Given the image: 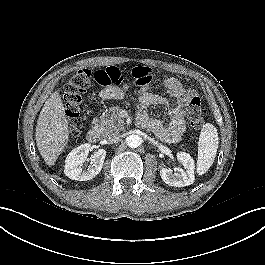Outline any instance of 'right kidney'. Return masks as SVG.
Here are the masks:
<instances>
[{
  "label": "right kidney",
  "mask_w": 265,
  "mask_h": 265,
  "mask_svg": "<svg viewBox=\"0 0 265 265\" xmlns=\"http://www.w3.org/2000/svg\"><path fill=\"white\" fill-rule=\"evenodd\" d=\"M90 148L91 145L89 143L82 144L67 155L64 166V173L67 177L73 180L87 181L100 173L106 156L104 149H99L98 152L91 156V166L87 170L82 169Z\"/></svg>",
  "instance_id": "right-kidney-1"
}]
</instances>
